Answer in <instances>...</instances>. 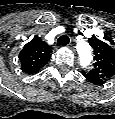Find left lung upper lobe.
Wrapping results in <instances>:
<instances>
[{"label":"left lung upper lobe","mask_w":115,"mask_h":119,"mask_svg":"<svg viewBox=\"0 0 115 119\" xmlns=\"http://www.w3.org/2000/svg\"><path fill=\"white\" fill-rule=\"evenodd\" d=\"M89 43L94 52L93 68L88 71V74L98 76L103 80H107L115 75V50L107 43L92 36Z\"/></svg>","instance_id":"5c2ea615"}]
</instances>
